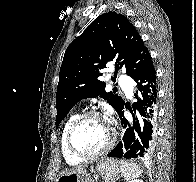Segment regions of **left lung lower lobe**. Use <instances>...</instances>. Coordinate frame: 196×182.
<instances>
[{
    "instance_id": "0a47b994",
    "label": "left lung lower lobe",
    "mask_w": 196,
    "mask_h": 182,
    "mask_svg": "<svg viewBox=\"0 0 196 182\" xmlns=\"http://www.w3.org/2000/svg\"><path fill=\"white\" fill-rule=\"evenodd\" d=\"M137 83L135 97L137 102L129 110L138 113L131 126L124 117V103L118 111L122 127L125 129L123 142L108 154L117 158H144L154 155L158 118V86L157 76L152 58L132 77Z\"/></svg>"
}]
</instances>
